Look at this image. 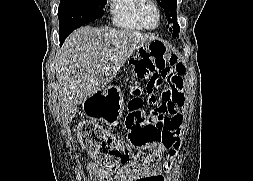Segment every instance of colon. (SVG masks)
<instances>
[{
    "label": "colon",
    "instance_id": "5ec220e1",
    "mask_svg": "<svg viewBox=\"0 0 253 181\" xmlns=\"http://www.w3.org/2000/svg\"><path fill=\"white\" fill-rule=\"evenodd\" d=\"M176 47H168L166 41H149V48H140V53L154 56L157 66L170 69L166 81L157 84L154 92L141 98V89L134 87L127 102V115L124 126L129 144L145 148L150 153L133 152L113 134L90 122H82L78 127V137L83 146L93 156L100 167L110 172L136 173L149 167L160 159L167 148L176 143L173 131L178 127L179 117L174 113V105L181 107L182 76L185 68L174 56ZM167 85L175 88L172 91Z\"/></svg>",
    "mask_w": 253,
    "mask_h": 181
}]
</instances>
